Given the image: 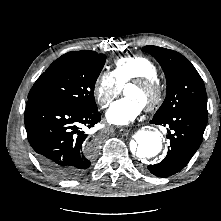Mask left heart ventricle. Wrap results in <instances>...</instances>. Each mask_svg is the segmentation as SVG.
Segmentation results:
<instances>
[{"instance_id":"1","label":"left heart ventricle","mask_w":221,"mask_h":221,"mask_svg":"<svg viewBox=\"0 0 221 221\" xmlns=\"http://www.w3.org/2000/svg\"><path fill=\"white\" fill-rule=\"evenodd\" d=\"M125 94L126 96L137 99L142 104H144L149 97V94L145 90L133 85H129L125 88Z\"/></svg>"}]
</instances>
